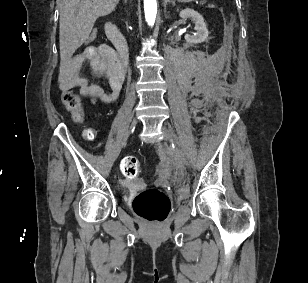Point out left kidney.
Wrapping results in <instances>:
<instances>
[{
  "mask_svg": "<svg viewBox=\"0 0 308 283\" xmlns=\"http://www.w3.org/2000/svg\"><path fill=\"white\" fill-rule=\"evenodd\" d=\"M179 15L182 19L190 18L195 24L194 29L196 30V33L193 36L185 35V40L188 43H202L208 38V30L202 15L193 9L188 8L182 10Z\"/></svg>",
  "mask_w": 308,
  "mask_h": 283,
  "instance_id": "obj_1",
  "label": "left kidney"
}]
</instances>
